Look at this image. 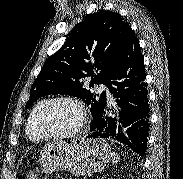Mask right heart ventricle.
I'll list each match as a JSON object with an SVG mask.
<instances>
[{
    "mask_svg": "<svg viewBox=\"0 0 183 179\" xmlns=\"http://www.w3.org/2000/svg\"><path fill=\"white\" fill-rule=\"evenodd\" d=\"M46 99L40 100L32 109L30 116L28 118L27 126H26V134L32 141H40L44 139V136L39 132L37 128V117L38 114L46 103Z\"/></svg>",
    "mask_w": 183,
    "mask_h": 179,
    "instance_id": "1",
    "label": "right heart ventricle"
}]
</instances>
